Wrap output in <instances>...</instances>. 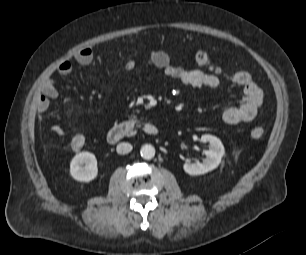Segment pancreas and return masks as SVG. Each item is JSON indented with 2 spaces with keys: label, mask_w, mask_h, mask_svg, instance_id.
Listing matches in <instances>:
<instances>
[{
  "label": "pancreas",
  "mask_w": 306,
  "mask_h": 255,
  "mask_svg": "<svg viewBox=\"0 0 306 255\" xmlns=\"http://www.w3.org/2000/svg\"><path fill=\"white\" fill-rule=\"evenodd\" d=\"M131 118H132L135 122L139 123V120H137L136 116L132 115Z\"/></svg>",
  "instance_id": "pancreas-1"
}]
</instances>
